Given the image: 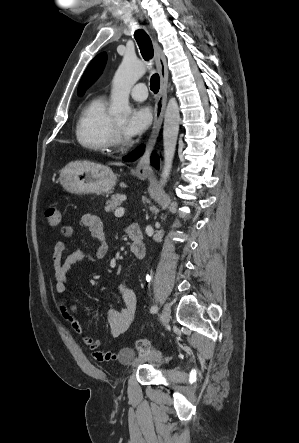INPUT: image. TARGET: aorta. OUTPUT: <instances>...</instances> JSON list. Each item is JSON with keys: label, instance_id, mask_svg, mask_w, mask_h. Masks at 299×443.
<instances>
[{"label": "aorta", "instance_id": "obj_1", "mask_svg": "<svg viewBox=\"0 0 299 443\" xmlns=\"http://www.w3.org/2000/svg\"><path fill=\"white\" fill-rule=\"evenodd\" d=\"M147 66L136 57L125 55L112 82L111 106L109 113L117 119H126L131 114L129 94L133 85L146 73ZM180 124L179 106L175 98H170L164 117L163 150L164 166L160 186L169 178L176 150Z\"/></svg>", "mask_w": 299, "mask_h": 443}]
</instances>
